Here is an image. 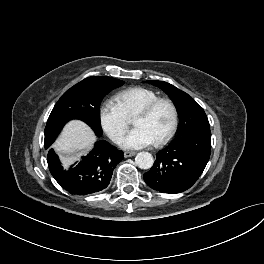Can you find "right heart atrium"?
<instances>
[{
	"label": "right heart atrium",
	"instance_id": "obj_1",
	"mask_svg": "<svg viewBox=\"0 0 264 264\" xmlns=\"http://www.w3.org/2000/svg\"><path fill=\"white\" fill-rule=\"evenodd\" d=\"M99 123L109 138L118 143L127 131L130 120L120 105L113 100L104 101L99 108Z\"/></svg>",
	"mask_w": 264,
	"mask_h": 264
}]
</instances>
